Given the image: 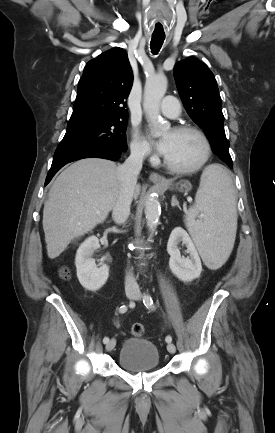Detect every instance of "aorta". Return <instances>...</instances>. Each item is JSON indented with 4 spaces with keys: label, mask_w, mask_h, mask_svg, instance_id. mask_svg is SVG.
Segmentation results:
<instances>
[{
    "label": "aorta",
    "mask_w": 275,
    "mask_h": 433,
    "mask_svg": "<svg viewBox=\"0 0 275 433\" xmlns=\"http://www.w3.org/2000/svg\"><path fill=\"white\" fill-rule=\"evenodd\" d=\"M167 89V79L163 75H156L146 80L144 87L143 109L147 120L153 128L155 137L164 135L169 129L170 124L163 121L160 115V102ZM161 207L155 196H148L145 201V217L147 226L153 233L159 223Z\"/></svg>",
    "instance_id": "aorta-1"
}]
</instances>
